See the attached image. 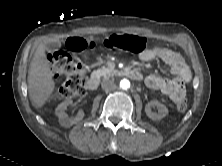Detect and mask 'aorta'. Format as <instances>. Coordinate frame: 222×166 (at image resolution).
<instances>
[{"label":"aorta","mask_w":222,"mask_h":166,"mask_svg":"<svg viewBox=\"0 0 222 166\" xmlns=\"http://www.w3.org/2000/svg\"><path fill=\"white\" fill-rule=\"evenodd\" d=\"M120 87H121L122 89H124V90L130 88V82H129V80H127V79H122V80L120 81Z\"/></svg>","instance_id":"aorta-1"}]
</instances>
